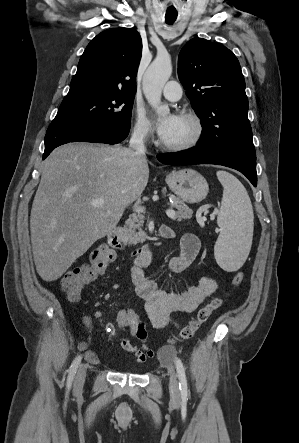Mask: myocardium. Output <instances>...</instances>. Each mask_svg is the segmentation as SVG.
Instances as JSON below:
<instances>
[{
	"label": "myocardium",
	"mask_w": 299,
	"mask_h": 443,
	"mask_svg": "<svg viewBox=\"0 0 299 443\" xmlns=\"http://www.w3.org/2000/svg\"><path fill=\"white\" fill-rule=\"evenodd\" d=\"M180 118H183L192 124L193 126L192 136L185 142L175 143V144L167 143L163 140H160L159 146L162 149L176 153L187 152L196 148L203 140L205 133L204 124L201 118L197 114L193 112H183L180 114Z\"/></svg>",
	"instance_id": "myocardium-1"
}]
</instances>
